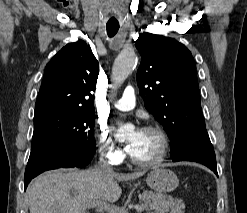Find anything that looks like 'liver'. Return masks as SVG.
<instances>
[{
	"instance_id": "1",
	"label": "liver",
	"mask_w": 247,
	"mask_h": 213,
	"mask_svg": "<svg viewBox=\"0 0 247 213\" xmlns=\"http://www.w3.org/2000/svg\"><path fill=\"white\" fill-rule=\"evenodd\" d=\"M144 173L118 174L98 168L45 172L28 186L30 213H89L93 202L113 203L120 198L122 190L117 181L136 179Z\"/></svg>"
}]
</instances>
